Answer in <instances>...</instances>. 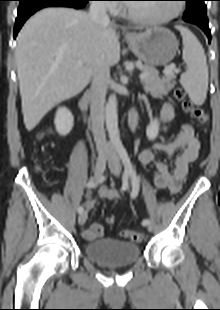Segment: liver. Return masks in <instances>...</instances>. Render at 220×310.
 <instances>
[{"label": "liver", "instance_id": "obj_1", "mask_svg": "<svg viewBox=\"0 0 220 310\" xmlns=\"http://www.w3.org/2000/svg\"><path fill=\"white\" fill-rule=\"evenodd\" d=\"M112 24L98 26L86 12L47 8L17 37L15 60L25 127L33 130L58 103L79 94L95 69L120 59Z\"/></svg>", "mask_w": 220, "mask_h": 310}]
</instances>
